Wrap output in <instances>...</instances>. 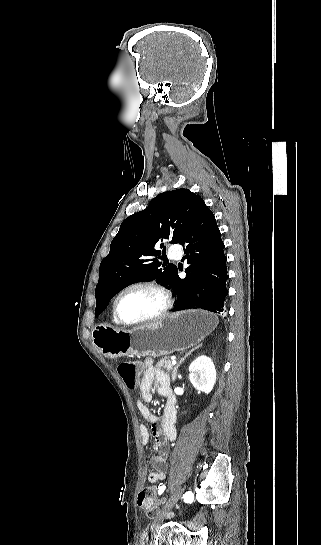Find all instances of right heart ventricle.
I'll return each mask as SVG.
<instances>
[{"label": "right heart ventricle", "instance_id": "1", "mask_svg": "<svg viewBox=\"0 0 321 545\" xmlns=\"http://www.w3.org/2000/svg\"><path fill=\"white\" fill-rule=\"evenodd\" d=\"M111 320H112V323H113L114 325H119V323L117 322V320H116V318H115V316H114L113 309H112V314H111Z\"/></svg>", "mask_w": 321, "mask_h": 545}]
</instances>
